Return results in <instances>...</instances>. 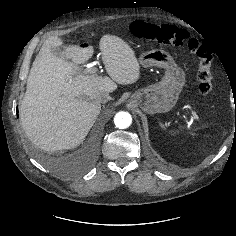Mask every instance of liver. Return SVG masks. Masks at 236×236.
<instances>
[{
    "label": "liver",
    "instance_id": "6515ba94",
    "mask_svg": "<svg viewBox=\"0 0 236 236\" xmlns=\"http://www.w3.org/2000/svg\"><path fill=\"white\" fill-rule=\"evenodd\" d=\"M60 47L62 52L55 53ZM99 49L109 77L89 75L78 66L93 55L91 46L64 45L57 35L42 45L19 109L23 129L36 146L47 151L77 147L100 114L99 95L140 78L139 61L126 41L105 34Z\"/></svg>",
    "mask_w": 236,
    "mask_h": 236
}]
</instances>
